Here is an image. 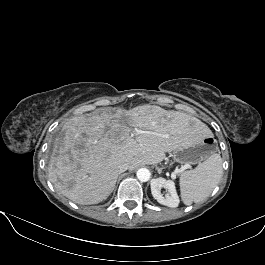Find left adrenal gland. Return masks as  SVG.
<instances>
[{"label":"left adrenal gland","instance_id":"left-adrenal-gland-1","mask_svg":"<svg viewBox=\"0 0 265 265\" xmlns=\"http://www.w3.org/2000/svg\"><path fill=\"white\" fill-rule=\"evenodd\" d=\"M159 174L161 173V169H158Z\"/></svg>","mask_w":265,"mask_h":265}]
</instances>
